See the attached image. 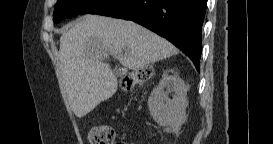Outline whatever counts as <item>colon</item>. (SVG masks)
<instances>
[{
	"mask_svg": "<svg viewBox=\"0 0 273 144\" xmlns=\"http://www.w3.org/2000/svg\"><path fill=\"white\" fill-rule=\"evenodd\" d=\"M152 75L153 70L151 68L139 69L122 79V87L126 90H131L147 82ZM114 137V130L107 125H94L88 131V141L91 144H112Z\"/></svg>",
	"mask_w": 273,
	"mask_h": 144,
	"instance_id": "5ec220e1",
	"label": "colon"
}]
</instances>
